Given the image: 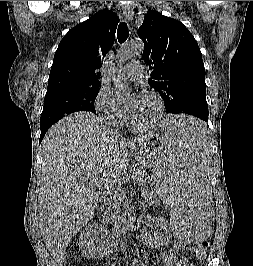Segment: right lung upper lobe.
I'll return each instance as SVG.
<instances>
[{
	"instance_id": "right-lung-upper-lobe-1",
	"label": "right lung upper lobe",
	"mask_w": 253,
	"mask_h": 266,
	"mask_svg": "<svg viewBox=\"0 0 253 266\" xmlns=\"http://www.w3.org/2000/svg\"><path fill=\"white\" fill-rule=\"evenodd\" d=\"M118 22L116 13L100 10L69 30L56 50L47 92L100 85L99 68L114 44Z\"/></svg>"
}]
</instances>
